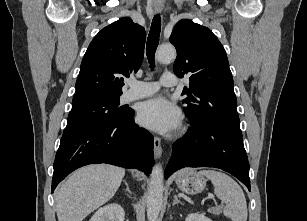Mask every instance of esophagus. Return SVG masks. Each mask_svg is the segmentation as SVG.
Wrapping results in <instances>:
<instances>
[{
	"mask_svg": "<svg viewBox=\"0 0 307 221\" xmlns=\"http://www.w3.org/2000/svg\"><path fill=\"white\" fill-rule=\"evenodd\" d=\"M162 10L161 6H156L155 11L160 12ZM162 156L161 139L157 136L154 137V157L159 159Z\"/></svg>",
	"mask_w": 307,
	"mask_h": 221,
	"instance_id": "esophagus-1",
	"label": "esophagus"
}]
</instances>
